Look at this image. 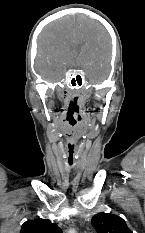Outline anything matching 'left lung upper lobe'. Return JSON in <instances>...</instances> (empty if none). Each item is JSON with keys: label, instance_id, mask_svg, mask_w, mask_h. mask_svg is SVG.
Instances as JSON below:
<instances>
[{"label": "left lung upper lobe", "instance_id": "left-lung-upper-lobe-1", "mask_svg": "<svg viewBox=\"0 0 145 233\" xmlns=\"http://www.w3.org/2000/svg\"><path fill=\"white\" fill-rule=\"evenodd\" d=\"M91 224L98 233H132L126 222L117 215L109 213H98Z\"/></svg>", "mask_w": 145, "mask_h": 233}]
</instances>
